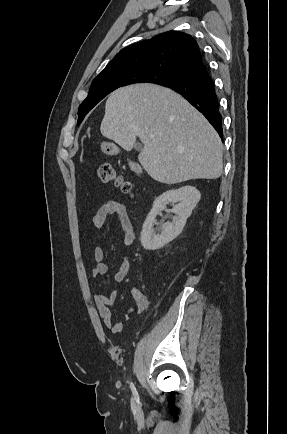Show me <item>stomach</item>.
<instances>
[{
	"instance_id": "1",
	"label": "stomach",
	"mask_w": 287,
	"mask_h": 434,
	"mask_svg": "<svg viewBox=\"0 0 287 434\" xmlns=\"http://www.w3.org/2000/svg\"><path fill=\"white\" fill-rule=\"evenodd\" d=\"M102 149L107 153V154H117L119 152L118 147H116L114 144L111 143H103L102 144Z\"/></svg>"
}]
</instances>
